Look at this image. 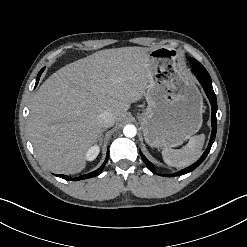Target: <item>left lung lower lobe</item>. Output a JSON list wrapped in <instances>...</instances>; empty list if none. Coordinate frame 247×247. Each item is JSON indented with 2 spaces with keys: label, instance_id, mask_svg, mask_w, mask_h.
I'll return each instance as SVG.
<instances>
[{
  "label": "left lung lower lobe",
  "instance_id": "0a47b994",
  "mask_svg": "<svg viewBox=\"0 0 247 247\" xmlns=\"http://www.w3.org/2000/svg\"><path fill=\"white\" fill-rule=\"evenodd\" d=\"M191 66H193L192 72L197 76L198 81L200 82V84L202 85L205 93L207 94V97L210 100L211 103V107H212V117H211V123H212V134H211V138L209 141V145L206 149V151L204 152V154L201 156V158L195 162L193 165L189 166L188 168H185L177 173L174 174H170V175H162L165 177H174V176H180V175H184L187 174L191 171H193L194 169H196L207 157L211 146L215 140V136H216V130H217V119H216V112H217V101H216V95L213 91V87H212V82H211V78L209 75H206L205 73H203L202 71H200V66H197L196 64H191ZM140 155L141 158L143 159L144 163L147 165V167L153 171V164L151 162H149L145 156L142 154V152L140 151ZM160 175V174H159Z\"/></svg>",
  "mask_w": 247,
  "mask_h": 247
}]
</instances>
